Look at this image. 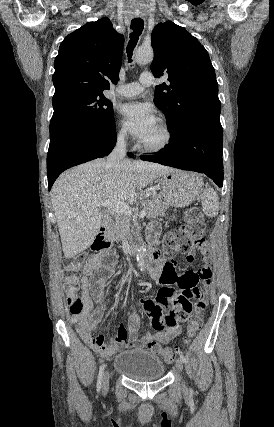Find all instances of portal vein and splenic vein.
Instances as JSON below:
<instances>
[{"instance_id": "1", "label": "portal vein and splenic vein", "mask_w": 274, "mask_h": 427, "mask_svg": "<svg viewBox=\"0 0 274 427\" xmlns=\"http://www.w3.org/2000/svg\"><path fill=\"white\" fill-rule=\"evenodd\" d=\"M96 206H103L107 208L110 212H115V214H125L132 215V210L128 204L124 202H116V200H103V202H95ZM147 214V210H141L139 217H144Z\"/></svg>"}]
</instances>
